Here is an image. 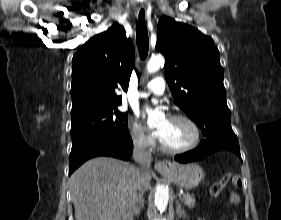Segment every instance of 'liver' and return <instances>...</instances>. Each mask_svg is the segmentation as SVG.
<instances>
[{
    "label": "liver",
    "instance_id": "obj_1",
    "mask_svg": "<svg viewBox=\"0 0 281 220\" xmlns=\"http://www.w3.org/2000/svg\"><path fill=\"white\" fill-rule=\"evenodd\" d=\"M137 190L135 166L110 157L93 158L70 177L75 219L133 220Z\"/></svg>",
    "mask_w": 281,
    "mask_h": 220
}]
</instances>
